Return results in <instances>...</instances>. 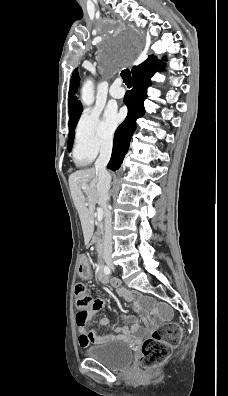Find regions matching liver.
<instances>
[{
  "mask_svg": "<svg viewBox=\"0 0 228 396\" xmlns=\"http://www.w3.org/2000/svg\"><path fill=\"white\" fill-rule=\"evenodd\" d=\"M98 172L95 168L78 170L69 176V186L74 205L85 234L89 241L93 230V213L96 203L102 206L97 190ZM84 192L87 198H85Z\"/></svg>",
  "mask_w": 228,
  "mask_h": 396,
  "instance_id": "6515ba94",
  "label": "liver"
}]
</instances>
